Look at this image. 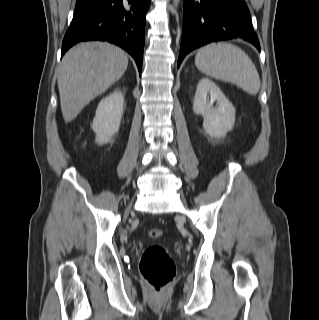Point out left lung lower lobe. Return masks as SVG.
Wrapping results in <instances>:
<instances>
[{"label": "left lung lower lobe", "mask_w": 319, "mask_h": 320, "mask_svg": "<svg viewBox=\"0 0 319 320\" xmlns=\"http://www.w3.org/2000/svg\"><path fill=\"white\" fill-rule=\"evenodd\" d=\"M240 38L260 44L244 0H183V32L178 66L190 51L212 41Z\"/></svg>", "instance_id": "1"}]
</instances>
